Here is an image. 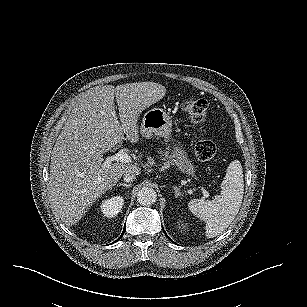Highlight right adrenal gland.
Returning a JSON list of instances; mask_svg holds the SVG:
<instances>
[{
  "label": "right adrenal gland",
  "instance_id": "2a0ac1e0",
  "mask_svg": "<svg viewBox=\"0 0 307 307\" xmlns=\"http://www.w3.org/2000/svg\"><path fill=\"white\" fill-rule=\"evenodd\" d=\"M131 183L130 184H126V183H119V185L118 186H123V187H126V188H129V187H131Z\"/></svg>",
  "mask_w": 307,
  "mask_h": 307
}]
</instances>
